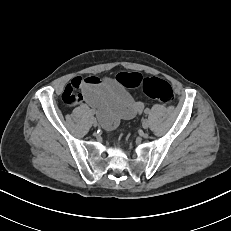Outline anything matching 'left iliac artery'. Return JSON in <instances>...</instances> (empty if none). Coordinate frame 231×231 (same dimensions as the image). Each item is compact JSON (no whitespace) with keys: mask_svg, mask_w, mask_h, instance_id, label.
Masks as SVG:
<instances>
[{"mask_svg":"<svg viewBox=\"0 0 231 231\" xmlns=\"http://www.w3.org/2000/svg\"><path fill=\"white\" fill-rule=\"evenodd\" d=\"M145 114H149L150 113V110L147 108V109H145Z\"/></svg>","mask_w":231,"mask_h":231,"instance_id":"44dca946","label":"left iliac artery"}]
</instances>
